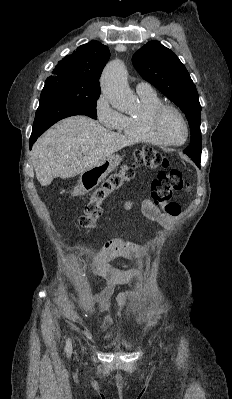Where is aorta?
<instances>
[{
    "instance_id": "762f6f07",
    "label": "aorta",
    "mask_w": 232,
    "mask_h": 399,
    "mask_svg": "<svg viewBox=\"0 0 232 399\" xmlns=\"http://www.w3.org/2000/svg\"><path fill=\"white\" fill-rule=\"evenodd\" d=\"M100 83L102 93L114 108L127 111L135 103V96L127 82V70L122 61L109 62L103 71Z\"/></svg>"
}]
</instances>
